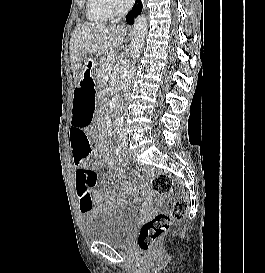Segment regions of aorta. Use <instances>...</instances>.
Here are the masks:
<instances>
[{"label": "aorta", "instance_id": "1", "mask_svg": "<svg viewBox=\"0 0 265 273\" xmlns=\"http://www.w3.org/2000/svg\"><path fill=\"white\" fill-rule=\"evenodd\" d=\"M147 19L144 15H140L135 19L133 25V40L131 43V57L133 59L132 63L125 69L121 77L120 87L123 91H126L130 86L134 73H135V62L139 57L145 37L147 35ZM123 121V116L119 114L116 117V122L121 123Z\"/></svg>", "mask_w": 265, "mask_h": 273}]
</instances>
